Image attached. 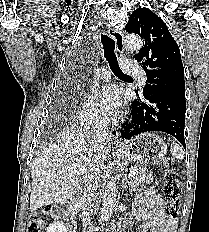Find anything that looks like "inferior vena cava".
<instances>
[{
    "label": "inferior vena cava",
    "instance_id": "1",
    "mask_svg": "<svg viewBox=\"0 0 209 232\" xmlns=\"http://www.w3.org/2000/svg\"><path fill=\"white\" fill-rule=\"evenodd\" d=\"M93 138L96 140L94 143L95 148L93 149L94 153H97L101 146L102 142L107 139V131L105 128H101L94 134ZM101 168L99 163H95L91 166L89 172L86 175L84 181V190L83 194L79 200V203L83 211V232H87V226L90 224V212H91V203L97 195L98 183L100 180L99 174L101 173Z\"/></svg>",
    "mask_w": 209,
    "mask_h": 232
}]
</instances>
